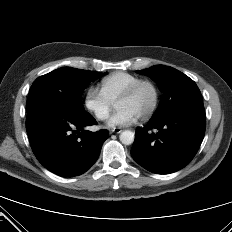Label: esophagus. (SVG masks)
I'll return each mask as SVG.
<instances>
[{"mask_svg": "<svg viewBox=\"0 0 232 232\" xmlns=\"http://www.w3.org/2000/svg\"><path fill=\"white\" fill-rule=\"evenodd\" d=\"M121 131H122V129L119 128V127H115V128L110 129V133H116V134H118Z\"/></svg>", "mask_w": 232, "mask_h": 232, "instance_id": "34e87169", "label": "esophagus"}]
</instances>
